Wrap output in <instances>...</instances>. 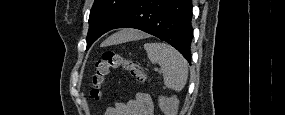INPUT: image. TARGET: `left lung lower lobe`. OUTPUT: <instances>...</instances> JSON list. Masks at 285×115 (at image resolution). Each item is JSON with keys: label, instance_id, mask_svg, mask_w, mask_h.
I'll return each mask as SVG.
<instances>
[{"label": "left lung lower lobe", "instance_id": "left-lung-lower-lobe-1", "mask_svg": "<svg viewBox=\"0 0 285 115\" xmlns=\"http://www.w3.org/2000/svg\"><path fill=\"white\" fill-rule=\"evenodd\" d=\"M192 0H134L111 24L154 35L176 48L190 63Z\"/></svg>", "mask_w": 285, "mask_h": 115}]
</instances>
